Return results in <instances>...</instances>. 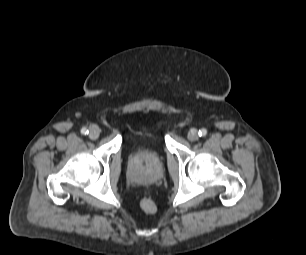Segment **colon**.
Segmentation results:
<instances>
[{"instance_id": "obj_1", "label": "colon", "mask_w": 306, "mask_h": 255, "mask_svg": "<svg viewBox=\"0 0 306 255\" xmlns=\"http://www.w3.org/2000/svg\"><path fill=\"white\" fill-rule=\"evenodd\" d=\"M140 207L144 212L148 214H153L156 212V205L154 201L149 197H143L141 199Z\"/></svg>"}]
</instances>
